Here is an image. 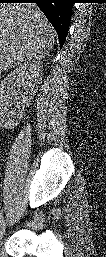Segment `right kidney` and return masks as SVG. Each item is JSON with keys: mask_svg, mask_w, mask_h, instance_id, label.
I'll return each mask as SVG.
<instances>
[{"mask_svg": "<svg viewBox=\"0 0 106 257\" xmlns=\"http://www.w3.org/2000/svg\"><path fill=\"white\" fill-rule=\"evenodd\" d=\"M42 72L38 61L25 62L1 81L0 111L8 123H14L23 116L41 82Z\"/></svg>", "mask_w": 106, "mask_h": 257, "instance_id": "ca27d5eb", "label": "right kidney"}]
</instances>
